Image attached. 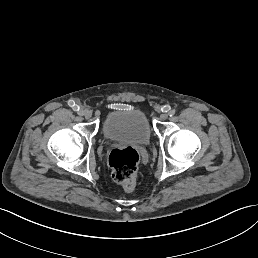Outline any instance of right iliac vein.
Masks as SVG:
<instances>
[{
  "mask_svg": "<svg viewBox=\"0 0 258 258\" xmlns=\"http://www.w3.org/2000/svg\"><path fill=\"white\" fill-rule=\"evenodd\" d=\"M83 115L86 117V119H91L92 112L89 109H86L83 112Z\"/></svg>",
  "mask_w": 258,
  "mask_h": 258,
  "instance_id": "1",
  "label": "right iliac vein"
}]
</instances>
